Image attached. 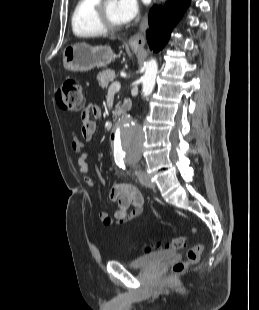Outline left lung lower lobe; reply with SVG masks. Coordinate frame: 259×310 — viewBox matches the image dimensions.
I'll return each mask as SVG.
<instances>
[{
  "label": "left lung lower lobe",
  "instance_id": "0a47b994",
  "mask_svg": "<svg viewBox=\"0 0 259 310\" xmlns=\"http://www.w3.org/2000/svg\"><path fill=\"white\" fill-rule=\"evenodd\" d=\"M190 0H171L164 7L153 6L149 14L147 40L150 48L158 52L168 41L170 32L179 21Z\"/></svg>",
  "mask_w": 259,
  "mask_h": 310
}]
</instances>
